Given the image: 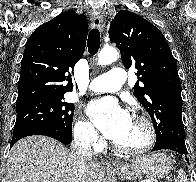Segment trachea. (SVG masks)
I'll return each instance as SVG.
<instances>
[{
	"label": "trachea",
	"mask_w": 196,
	"mask_h": 182,
	"mask_svg": "<svg viewBox=\"0 0 196 182\" xmlns=\"http://www.w3.org/2000/svg\"><path fill=\"white\" fill-rule=\"evenodd\" d=\"M88 51L91 55H95L100 48V32L98 29H92L87 40Z\"/></svg>",
	"instance_id": "obj_1"
}]
</instances>
